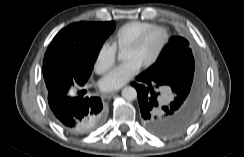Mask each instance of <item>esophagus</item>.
Here are the masks:
<instances>
[{
    "mask_svg": "<svg viewBox=\"0 0 244 157\" xmlns=\"http://www.w3.org/2000/svg\"><path fill=\"white\" fill-rule=\"evenodd\" d=\"M118 91H111L105 94L106 98H111L113 97Z\"/></svg>",
    "mask_w": 244,
    "mask_h": 157,
    "instance_id": "34e87169",
    "label": "esophagus"
}]
</instances>
